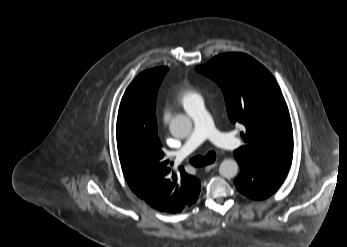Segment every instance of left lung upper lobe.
<instances>
[{"label": "left lung upper lobe", "mask_w": 347, "mask_h": 247, "mask_svg": "<svg viewBox=\"0 0 347 247\" xmlns=\"http://www.w3.org/2000/svg\"><path fill=\"white\" fill-rule=\"evenodd\" d=\"M196 70L221 87L229 119L246 128L234 155L260 164L291 165L293 130L287 104L271 73L243 53H225Z\"/></svg>", "instance_id": "5c2ea615"}]
</instances>
